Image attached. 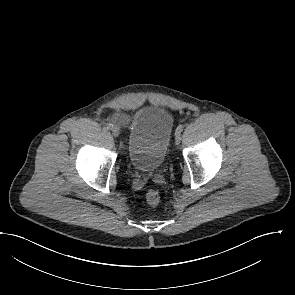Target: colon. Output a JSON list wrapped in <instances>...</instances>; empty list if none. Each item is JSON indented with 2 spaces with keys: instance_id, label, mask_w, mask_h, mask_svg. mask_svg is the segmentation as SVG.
<instances>
[{
  "instance_id": "colon-1",
  "label": "colon",
  "mask_w": 295,
  "mask_h": 295,
  "mask_svg": "<svg viewBox=\"0 0 295 295\" xmlns=\"http://www.w3.org/2000/svg\"><path fill=\"white\" fill-rule=\"evenodd\" d=\"M146 201L149 205H157L160 201L159 193L156 190H149L146 194Z\"/></svg>"
}]
</instances>
